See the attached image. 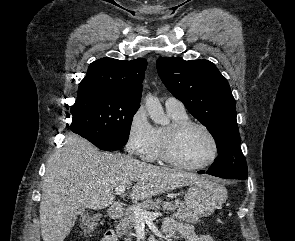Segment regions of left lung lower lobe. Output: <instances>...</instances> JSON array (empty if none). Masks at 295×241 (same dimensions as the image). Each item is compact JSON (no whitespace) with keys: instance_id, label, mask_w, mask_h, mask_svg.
I'll return each mask as SVG.
<instances>
[{"instance_id":"obj_1","label":"left lung lower lobe","mask_w":295,"mask_h":241,"mask_svg":"<svg viewBox=\"0 0 295 241\" xmlns=\"http://www.w3.org/2000/svg\"><path fill=\"white\" fill-rule=\"evenodd\" d=\"M198 173H200V174L206 173V174L217 176V177H221V178L237 179V178H234V177H226L224 175H221V174H219L217 172H214V171H211V170H202V171H199Z\"/></svg>"}]
</instances>
